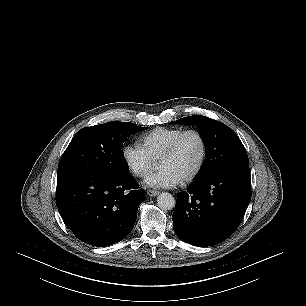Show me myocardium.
Segmentation results:
<instances>
[{"label":"myocardium","instance_id":"1","mask_svg":"<svg viewBox=\"0 0 306 306\" xmlns=\"http://www.w3.org/2000/svg\"><path fill=\"white\" fill-rule=\"evenodd\" d=\"M190 134H194L198 137V139L200 140V143H201L202 151H201V157H200L198 165L187 177H185L182 180L183 183H189V182L193 181L195 178H197V176L201 173V171H202V169L205 165V162H206V159H207L208 148H207V142H206V139H205L204 135L196 129L184 130L172 142V144L169 146V148L164 152V154L160 158V162H162V161H164L166 159H169L172 156H174L175 153L177 152L181 142L183 141V139Z\"/></svg>","mask_w":306,"mask_h":306}]
</instances>
